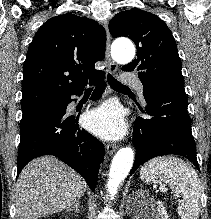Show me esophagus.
Masks as SVG:
<instances>
[{
    "label": "esophagus",
    "instance_id": "esophagus-1",
    "mask_svg": "<svg viewBox=\"0 0 211 219\" xmlns=\"http://www.w3.org/2000/svg\"><path fill=\"white\" fill-rule=\"evenodd\" d=\"M104 28L106 31V61L108 63V69L109 72L112 74H115L118 70L117 64L112 60L111 55H110V43H111V37L110 33L108 30V23L107 21L103 22ZM118 149V145L116 144H108L107 145V153L112 154Z\"/></svg>",
    "mask_w": 211,
    "mask_h": 219
}]
</instances>
